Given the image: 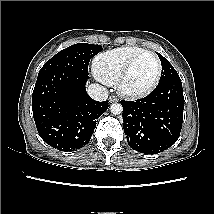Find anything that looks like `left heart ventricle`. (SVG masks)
<instances>
[{"mask_svg":"<svg viewBox=\"0 0 214 214\" xmlns=\"http://www.w3.org/2000/svg\"><path fill=\"white\" fill-rule=\"evenodd\" d=\"M157 63L152 55H144L134 65L127 81L126 88L138 91L147 88L154 80Z\"/></svg>","mask_w":214,"mask_h":214,"instance_id":"1","label":"left heart ventricle"}]
</instances>
